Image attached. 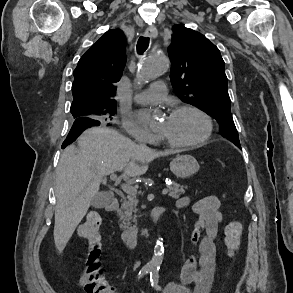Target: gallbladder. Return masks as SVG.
Instances as JSON below:
<instances>
[{"label":"gallbladder","mask_w":293,"mask_h":293,"mask_svg":"<svg viewBox=\"0 0 293 293\" xmlns=\"http://www.w3.org/2000/svg\"><path fill=\"white\" fill-rule=\"evenodd\" d=\"M110 196L105 192H100L93 198L91 205L94 208H103L110 201Z\"/></svg>","instance_id":"obj_1"}]
</instances>
